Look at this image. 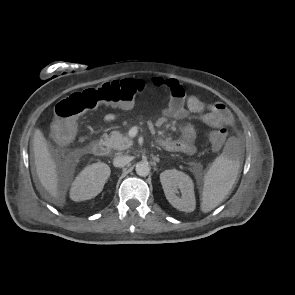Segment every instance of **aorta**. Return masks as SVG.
<instances>
[{
  "instance_id": "aorta-1",
  "label": "aorta",
  "mask_w": 295,
  "mask_h": 295,
  "mask_svg": "<svg viewBox=\"0 0 295 295\" xmlns=\"http://www.w3.org/2000/svg\"><path fill=\"white\" fill-rule=\"evenodd\" d=\"M136 173L141 177H146L150 173V165L148 162H140L136 165Z\"/></svg>"
}]
</instances>
